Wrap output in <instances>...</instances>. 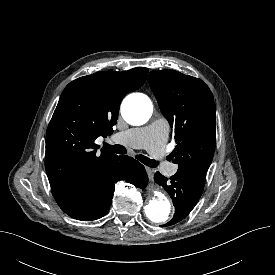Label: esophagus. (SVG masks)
Masks as SVG:
<instances>
[{
	"label": "esophagus",
	"mask_w": 275,
	"mask_h": 275,
	"mask_svg": "<svg viewBox=\"0 0 275 275\" xmlns=\"http://www.w3.org/2000/svg\"><path fill=\"white\" fill-rule=\"evenodd\" d=\"M145 169H146V172H147L149 178L150 179L153 178L155 171L153 169L149 168V167H146Z\"/></svg>",
	"instance_id": "esophagus-1"
}]
</instances>
